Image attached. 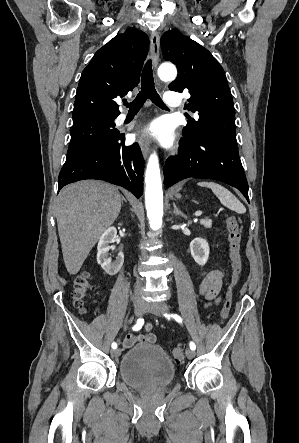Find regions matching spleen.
<instances>
[{
	"label": "spleen",
	"mask_w": 299,
	"mask_h": 443,
	"mask_svg": "<svg viewBox=\"0 0 299 443\" xmlns=\"http://www.w3.org/2000/svg\"><path fill=\"white\" fill-rule=\"evenodd\" d=\"M199 186L207 187L218 197L221 204L227 208L237 212L238 214H244L246 208L244 205L225 187L215 182H199Z\"/></svg>",
	"instance_id": "3e777b00"
}]
</instances>
